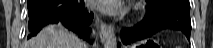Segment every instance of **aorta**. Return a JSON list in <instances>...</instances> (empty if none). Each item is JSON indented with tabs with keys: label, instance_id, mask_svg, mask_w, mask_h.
I'll return each instance as SVG.
<instances>
[{
	"label": "aorta",
	"instance_id": "obj_1",
	"mask_svg": "<svg viewBox=\"0 0 213 48\" xmlns=\"http://www.w3.org/2000/svg\"><path fill=\"white\" fill-rule=\"evenodd\" d=\"M104 48H117V38L112 29L106 35Z\"/></svg>",
	"mask_w": 213,
	"mask_h": 48
}]
</instances>
